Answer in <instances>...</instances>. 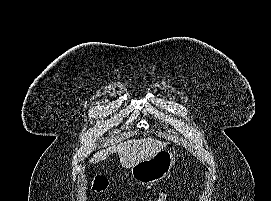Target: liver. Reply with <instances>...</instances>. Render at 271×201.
Wrapping results in <instances>:
<instances>
[{"label":"liver","instance_id":"6515ba94","mask_svg":"<svg viewBox=\"0 0 271 201\" xmlns=\"http://www.w3.org/2000/svg\"><path fill=\"white\" fill-rule=\"evenodd\" d=\"M168 145V142H161L154 138H141L127 140L116 146H110L100 150L93 155L89 160L90 163H98L107 159L109 154L117 152L120 158V163L125 168H131L135 164L149 159L157 152L163 150Z\"/></svg>","mask_w":271,"mask_h":201}]
</instances>
